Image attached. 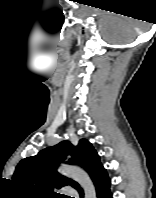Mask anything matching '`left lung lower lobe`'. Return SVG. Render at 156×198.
<instances>
[{
    "label": "left lung lower lobe",
    "mask_w": 156,
    "mask_h": 198,
    "mask_svg": "<svg viewBox=\"0 0 156 198\" xmlns=\"http://www.w3.org/2000/svg\"><path fill=\"white\" fill-rule=\"evenodd\" d=\"M97 198H113L110 191L111 181L108 177L107 171H103L94 181ZM80 198H84L83 190L79 191Z\"/></svg>",
    "instance_id": "left-lung-lower-lobe-1"
}]
</instances>
